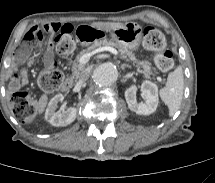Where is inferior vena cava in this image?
Here are the masks:
<instances>
[{
  "label": "inferior vena cava",
  "mask_w": 215,
  "mask_h": 183,
  "mask_svg": "<svg viewBox=\"0 0 215 183\" xmlns=\"http://www.w3.org/2000/svg\"><path fill=\"white\" fill-rule=\"evenodd\" d=\"M88 77H89V72L84 70V71L81 72V74L79 76V81L84 82V81H86L88 79Z\"/></svg>",
  "instance_id": "obj_1"
}]
</instances>
